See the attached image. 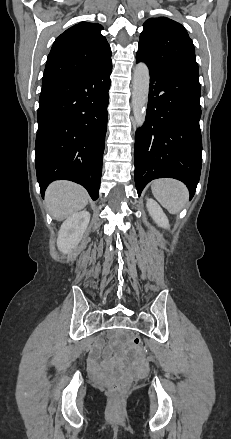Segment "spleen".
Segmentation results:
<instances>
[{"mask_svg":"<svg viewBox=\"0 0 231 439\" xmlns=\"http://www.w3.org/2000/svg\"><path fill=\"white\" fill-rule=\"evenodd\" d=\"M151 189L154 197L171 214H178L189 198L187 187L175 179H158L153 182Z\"/></svg>","mask_w":231,"mask_h":439,"instance_id":"spleen-1","label":"spleen"}]
</instances>
